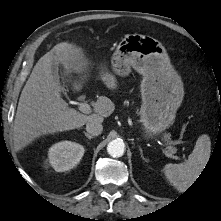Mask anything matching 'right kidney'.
Wrapping results in <instances>:
<instances>
[{
	"label": "right kidney",
	"instance_id": "obj_1",
	"mask_svg": "<svg viewBox=\"0 0 221 221\" xmlns=\"http://www.w3.org/2000/svg\"><path fill=\"white\" fill-rule=\"evenodd\" d=\"M84 147L71 141H61L49 148V163L57 172L75 167L84 155Z\"/></svg>",
	"mask_w": 221,
	"mask_h": 221
}]
</instances>
